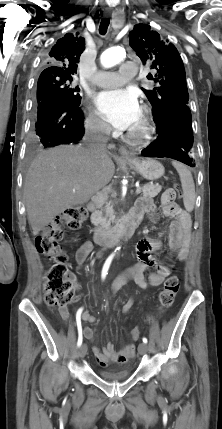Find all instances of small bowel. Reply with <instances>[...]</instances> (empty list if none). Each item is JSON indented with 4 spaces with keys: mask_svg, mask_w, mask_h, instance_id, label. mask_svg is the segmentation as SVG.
Segmentation results:
<instances>
[{
    "mask_svg": "<svg viewBox=\"0 0 222 429\" xmlns=\"http://www.w3.org/2000/svg\"><path fill=\"white\" fill-rule=\"evenodd\" d=\"M133 211L139 212L144 216L148 214L152 221L156 220V207L153 201L149 198L139 199ZM162 212L165 216L173 218L170 225V234L168 245L174 252L178 260L184 261L188 258L190 235H191V218L189 214L175 203L162 204ZM162 243L156 239L145 238L138 242L136 247L138 262L122 274L115 282L112 292L118 291L128 281H134L139 289H146L149 286H158L164 282L170 274V266L158 263L153 257L152 253L159 250ZM93 250V244L90 241L83 242L75 253V260L79 267H81L90 253ZM148 275V281L145 275ZM134 299H129L122 307V313L126 314L132 307ZM60 315L63 319L69 318V311L67 307L60 308ZM82 319L85 322H95V317L87 310L82 313ZM83 335L86 339L93 341L94 332L89 327L83 328ZM93 353L96 360L103 366L116 363L124 364L135 353V346L133 344H125L119 350L115 349L112 342H108L103 349L98 347L93 348Z\"/></svg>",
    "mask_w": 222,
    "mask_h": 429,
    "instance_id": "1",
    "label": "small bowel"
}]
</instances>
